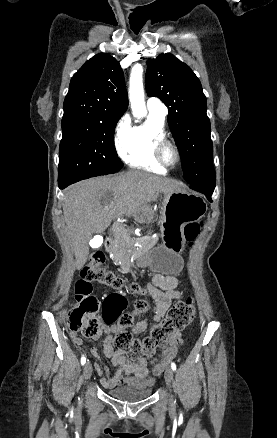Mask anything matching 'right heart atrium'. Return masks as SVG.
I'll return each mask as SVG.
<instances>
[{
  "label": "right heart atrium",
  "instance_id": "d8ad5b80",
  "mask_svg": "<svg viewBox=\"0 0 277 438\" xmlns=\"http://www.w3.org/2000/svg\"><path fill=\"white\" fill-rule=\"evenodd\" d=\"M127 130H128V125L124 121L118 123L116 127V139L118 144H120L123 138L125 137Z\"/></svg>",
  "mask_w": 277,
  "mask_h": 438
}]
</instances>
